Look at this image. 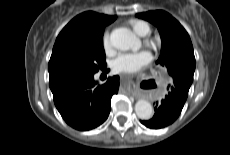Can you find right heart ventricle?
I'll list each match as a JSON object with an SVG mask.
<instances>
[{
  "label": "right heart ventricle",
  "instance_id": "e07e8e85",
  "mask_svg": "<svg viewBox=\"0 0 230 155\" xmlns=\"http://www.w3.org/2000/svg\"><path fill=\"white\" fill-rule=\"evenodd\" d=\"M130 24L134 32L139 36H146L150 32V26L145 21L133 20Z\"/></svg>",
  "mask_w": 230,
  "mask_h": 155
}]
</instances>
